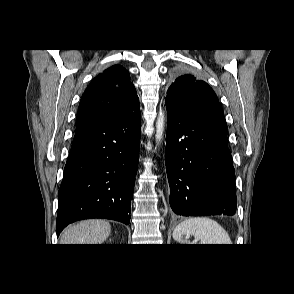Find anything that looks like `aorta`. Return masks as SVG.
Masks as SVG:
<instances>
[{"instance_id":"1","label":"aorta","mask_w":294,"mask_h":294,"mask_svg":"<svg viewBox=\"0 0 294 294\" xmlns=\"http://www.w3.org/2000/svg\"><path fill=\"white\" fill-rule=\"evenodd\" d=\"M163 131H164V113L160 111L156 121V135H155L158 143L160 142L162 138Z\"/></svg>"}]
</instances>
